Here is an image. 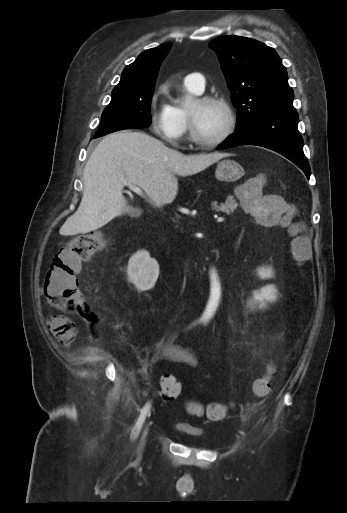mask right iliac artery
<instances>
[{
  "label": "right iliac artery",
  "mask_w": 347,
  "mask_h": 513,
  "mask_svg": "<svg viewBox=\"0 0 347 513\" xmlns=\"http://www.w3.org/2000/svg\"><path fill=\"white\" fill-rule=\"evenodd\" d=\"M149 409H150V403L148 402L142 409H141V413H140V416L135 424V427L131 433V438L132 439H135L138 434H139V431L145 421V418H146V415L147 413L149 412Z\"/></svg>",
  "instance_id": "right-iliac-artery-1"
}]
</instances>
